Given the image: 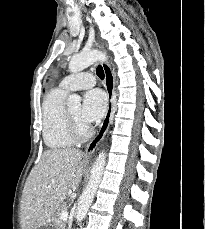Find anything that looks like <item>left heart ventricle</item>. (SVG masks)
I'll return each mask as SVG.
<instances>
[{
    "label": "left heart ventricle",
    "mask_w": 205,
    "mask_h": 229,
    "mask_svg": "<svg viewBox=\"0 0 205 229\" xmlns=\"http://www.w3.org/2000/svg\"><path fill=\"white\" fill-rule=\"evenodd\" d=\"M71 114L81 123L84 124L81 120V108L79 105L69 108Z\"/></svg>",
    "instance_id": "obj_1"
}]
</instances>
